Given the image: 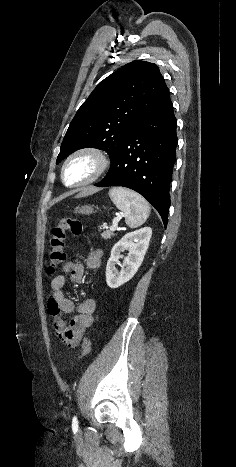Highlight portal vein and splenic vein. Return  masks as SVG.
I'll return each instance as SVG.
<instances>
[{
  "mask_svg": "<svg viewBox=\"0 0 236 467\" xmlns=\"http://www.w3.org/2000/svg\"><path fill=\"white\" fill-rule=\"evenodd\" d=\"M118 221V219H114L113 225L110 227L111 231H115V229L117 228Z\"/></svg>",
  "mask_w": 236,
  "mask_h": 467,
  "instance_id": "1",
  "label": "portal vein and splenic vein"
}]
</instances>
